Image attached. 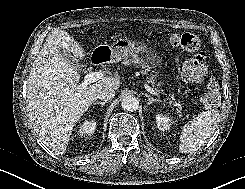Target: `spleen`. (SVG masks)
Here are the masks:
<instances>
[{
  "instance_id": "1",
  "label": "spleen",
  "mask_w": 245,
  "mask_h": 189,
  "mask_svg": "<svg viewBox=\"0 0 245 189\" xmlns=\"http://www.w3.org/2000/svg\"><path fill=\"white\" fill-rule=\"evenodd\" d=\"M220 115L217 110L201 112L198 117L183 126L179 149L182 153H193L203 146L213 135Z\"/></svg>"
}]
</instances>
